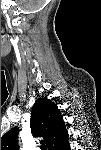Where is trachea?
Masks as SVG:
<instances>
[{"label": "trachea", "mask_w": 101, "mask_h": 150, "mask_svg": "<svg viewBox=\"0 0 101 150\" xmlns=\"http://www.w3.org/2000/svg\"><path fill=\"white\" fill-rule=\"evenodd\" d=\"M41 150H46V145H41Z\"/></svg>", "instance_id": "3493384b"}]
</instances>
